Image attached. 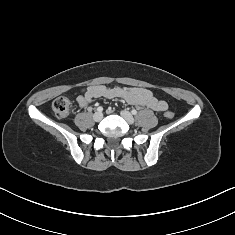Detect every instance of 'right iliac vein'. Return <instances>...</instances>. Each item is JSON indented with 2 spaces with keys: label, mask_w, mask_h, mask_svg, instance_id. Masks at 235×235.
<instances>
[{
  "label": "right iliac vein",
  "mask_w": 235,
  "mask_h": 235,
  "mask_svg": "<svg viewBox=\"0 0 235 235\" xmlns=\"http://www.w3.org/2000/svg\"><path fill=\"white\" fill-rule=\"evenodd\" d=\"M102 118H103V114H102L101 112H96V113H94V115H93V119H94V121H96V122L101 121Z\"/></svg>",
  "instance_id": "1"
}]
</instances>
